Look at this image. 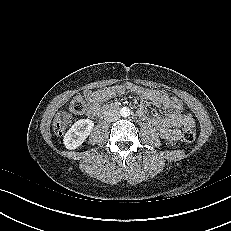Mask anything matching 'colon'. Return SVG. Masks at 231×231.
I'll use <instances>...</instances> for the list:
<instances>
[{
    "instance_id": "5ec220e1",
    "label": "colon",
    "mask_w": 231,
    "mask_h": 231,
    "mask_svg": "<svg viewBox=\"0 0 231 231\" xmlns=\"http://www.w3.org/2000/svg\"><path fill=\"white\" fill-rule=\"evenodd\" d=\"M171 106L176 110H181L183 103L181 99L177 97L170 98ZM69 109L72 113L82 114L86 111V103L83 97L76 96L70 103ZM70 120V113L67 111H62L56 115L53 121L54 133L58 136L64 134L66 128L68 127ZM196 137V131L194 126H185L182 132V138L186 142H192Z\"/></svg>"
}]
</instances>
